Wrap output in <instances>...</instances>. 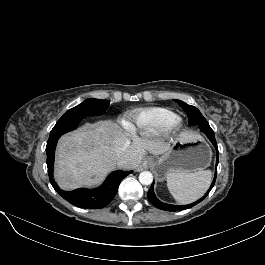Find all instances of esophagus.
Masks as SVG:
<instances>
[{
	"label": "esophagus",
	"mask_w": 265,
	"mask_h": 265,
	"mask_svg": "<svg viewBox=\"0 0 265 265\" xmlns=\"http://www.w3.org/2000/svg\"><path fill=\"white\" fill-rule=\"evenodd\" d=\"M151 163H152V161L151 160H149V159H147L146 161H144V163H143V167H149L150 165H151Z\"/></svg>",
	"instance_id": "obj_1"
}]
</instances>
